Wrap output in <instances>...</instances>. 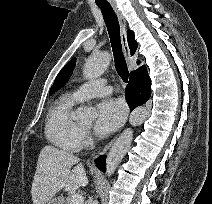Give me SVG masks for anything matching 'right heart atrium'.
Returning a JSON list of instances; mask_svg holds the SVG:
<instances>
[{"instance_id": "d8ad5b80", "label": "right heart atrium", "mask_w": 212, "mask_h": 204, "mask_svg": "<svg viewBox=\"0 0 212 204\" xmlns=\"http://www.w3.org/2000/svg\"><path fill=\"white\" fill-rule=\"evenodd\" d=\"M90 143V135L88 131H83L81 134L80 145L87 146Z\"/></svg>"}]
</instances>
